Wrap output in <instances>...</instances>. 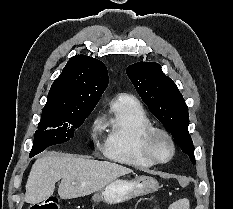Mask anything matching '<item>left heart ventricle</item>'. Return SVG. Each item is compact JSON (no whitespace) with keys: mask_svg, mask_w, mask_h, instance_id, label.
I'll return each mask as SVG.
<instances>
[{"mask_svg":"<svg viewBox=\"0 0 233 209\" xmlns=\"http://www.w3.org/2000/svg\"><path fill=\"white\" fill-rule=\"evenodd\" d=\"M154 150L161 159H166L170 155V145L164 137H159L154 143Z\"/></svg>","mask_w":233,"mask_h":209,"instance_id":"1","label":"left heart ventricle"}]
</instances>
